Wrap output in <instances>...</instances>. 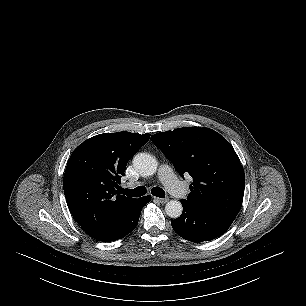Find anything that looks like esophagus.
<instances>
[{
  "label": "esophagus",
  "instance_id": "esophagus-1",
  "mask_svg": "<svg viewBox=\"0 0 306 306\" xmlns=\"http://www.w3.org/2000/svg\"><path fill=\"white\" fill-rule=\"evenodd\" d=\"M168 200H169L168 198L154 197V201H156V202H158V203H161V204L166 203Z\"/></svg>",
  "mask_w": 306,
  "mask_h": 306
}]
</instances>
